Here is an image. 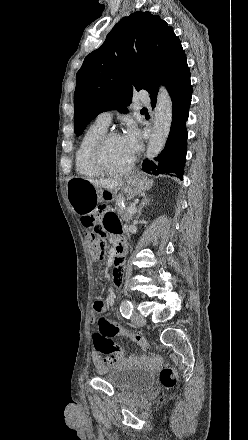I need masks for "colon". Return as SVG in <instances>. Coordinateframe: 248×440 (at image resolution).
Masks as SVG:
<instances>
[{
	"label": "colon",
	"instance_id": "1",
	"mask_svg": "<svg viewBox=\"0 0 248 440\" xmlns=\"http://www.w3.org/2000/svg\"><path fill=\"white\" fill-rule=\"evenodd\" d=\"M103 210L93 208V210L82 218L83 224L91 228L90 244L91 251L95 259H101L105 253V227L102 223ZM99 330L94 334V346L96 350L105 355L110 365L118 366L126 361V357L122 348L115 343L111 337L115 335L123 336L134 341L145 349L149 348L146 338L122 326H119L104 317L99 319ZM160 381L166 388H172L176 385L178 376L172 367H164L161 369Z\"/></svg>",
	"mask_w": 248,
	"mask_h": 440
}]
</instances>
